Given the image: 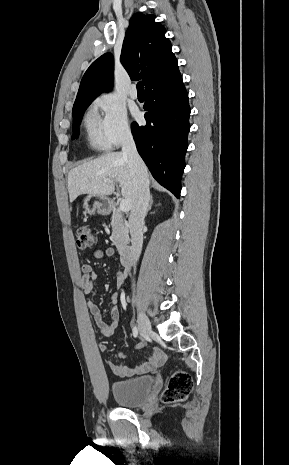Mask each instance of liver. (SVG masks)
I'll use <instances>...</instances> for the list:
<instances>
[{
    "mask_svg": "<svg viewBox=\"0 0 289 465\" xmlns=\"http://www.w3.org/2000/svg\"><path fill=\"white\" fill-rule=\"evenodd\" d=\"M144 176L149 183L150 174L147 168ZM115 182L119 183L122 196L130 200L132 209L137 198V179L128 157L121 152L108 153L73 168L68 174L70 202L81 194L109 196L115 190Z\"/></svg>",
    "mask_w": 289,
    "mask_h": 465,
    "instance_id": "1",
    "label": "liver"
}]
</instances>
